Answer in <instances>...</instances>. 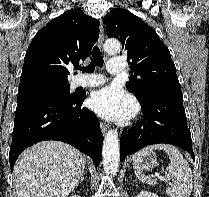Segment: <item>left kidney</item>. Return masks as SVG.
<instances>
[{
	"label": "left kidney",
	"mask_w": 209,
	"mask_h": 197,
	"mask_svg": "<svg viewBox=\"0 0 209 197\" xmlns=\"http://www.w3.org/2000/svg\"><path fill=\"white\" fill-rule=\"evenodd\" d=\"M136 197H159V196L157 194L148 191H142Z\"/></svg>",
	"instance_id": "5707ae66"
}]
</instances>
